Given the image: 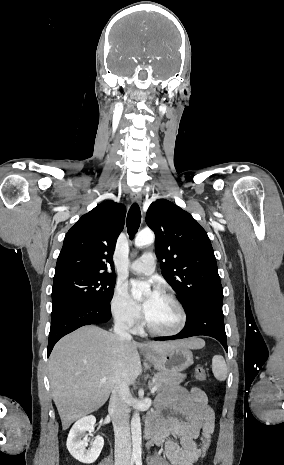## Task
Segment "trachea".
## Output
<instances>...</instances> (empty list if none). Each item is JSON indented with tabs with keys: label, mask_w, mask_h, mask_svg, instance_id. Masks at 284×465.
Masks as SVG:
<instances>
[{
	"label": "trachea",
	"mask_w": 284,
	"mask_h": 465,
	"mask_svg": "<svg viewBox=\"0 0 284 465\" xmlns=\"http://www.w3.org/2000/svg\"><path fill=\"white\" fill-rule=\"evenodd\" d=\"M141 223V211L139 205L134 203L131 205L130 210L127 215V230L130 236V239L134 238V235L137 233L138 228Z\"/></svg>",
	"instance_id": "3493384b"
}]
</instances>
